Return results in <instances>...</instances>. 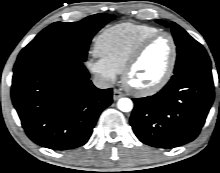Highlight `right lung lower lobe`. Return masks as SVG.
I'll use <instances>...</instances> for the list:
<instances>
[{
  "label": "right lung lower lobe",
  "instance_id": "1",
  "mask_svg": "<svg viewBox=\"0 0 220 173\" xmlns=\"http://www.w3.org/2000/svg\"><path fill=\"white\" fill-rule=\"evenodd\" d=\"M82 59L63 50L18 58L11 96L27 136L53 150L84 145L112 89H98Z\"/></svg>",
  "mask_w": 220,
  "mask_h": 173
}]
</instances>
